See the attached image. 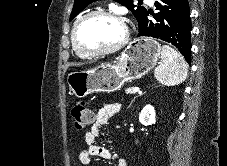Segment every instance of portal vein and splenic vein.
<instances>
[{
    "mask_svg": "<svg viewBox=\"0 0 227 166\" xmlns=\"http://www.w3.org/2000/svg\"><path fill=\"white\" fill-rule=\"evenodd\" d=\"M138 91H139V87H134V88H133V92H134V93H137Z\"/></svg>",
    "mask_w": 227,
    "mask_h": 166,
    "instance_id": "portal-vein-and-splenic-vein-1",
    "label": "portal vein and splenic vein"
}]
</instances>
